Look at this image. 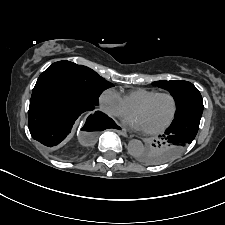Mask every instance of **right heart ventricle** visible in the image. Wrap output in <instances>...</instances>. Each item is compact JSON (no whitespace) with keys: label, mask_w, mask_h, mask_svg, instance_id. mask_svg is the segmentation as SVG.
Returning <instances> with one entry per match:
<instances>
[{"label":"right heart ventricle","mask_w":225,"mask_h":225,"mask_svg":"<svg viewBox=\"0 0 225 225\" xmlns=\"http://www.w3.org/2000/svg\"><path fill=\"white\" fill-rule=\"evenodd\" d=\"M155 93H158V91L154 89L137 88L124 94L122 98L128 108L133 109L137 104L144 101Z\"/></svg>","instance_id":"e07e8e85"}]
</instances>
